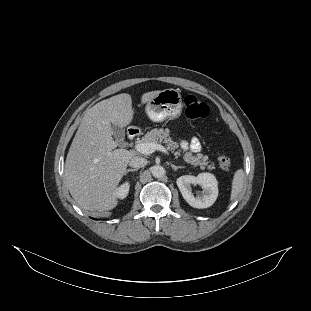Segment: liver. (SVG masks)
Segmentation results:
<instances>
[{
  "label": "liver",
  "instance_id": "obj_1",
  "mask_svg": "<svg viewBox=\"0 0 311 311\" xmlns=\"http://www.w3.org/2000/svg\"><path fill=\"white\" fill-rule=\"evenodd\" d=\"M162 90L144 92L140 105L152 102ZM136 115L132 96L121 93L90 108L72 141L64 168V181L73 200L84 210L106 212L119 205L118 187L129 160L138 154L115 149L113 127L125 129Z\"/></svg>",
  "mask_w": 311,
  "mask_h": 311
}]
</instances>
